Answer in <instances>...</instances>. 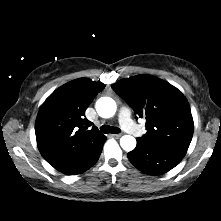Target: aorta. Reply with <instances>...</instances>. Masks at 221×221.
<instances>
[{
    "mask_svg": "<svg viewBox=\"0 0 221 221\" xmlns=\"http://www.w3.org/2000/svg\"><path fill=\"white\" fill-rule=\"evenodd\" d=\"M116 103L110 97H101L96 102V111L102 118H110L116 112ZM120 145L125 151H132L136 147V139L131 135H124L120 138Z\"/></svg>",
    "mask_w": 221,
    "mask_h": 221,
    "instance_id": "obj_1",
    "label": "aorta"
}]
</instances>
